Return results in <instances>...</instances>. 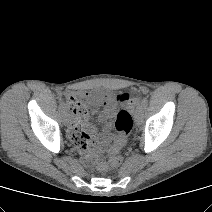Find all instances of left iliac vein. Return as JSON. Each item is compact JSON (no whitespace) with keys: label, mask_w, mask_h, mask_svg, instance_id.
<instances>
[{"label":"left iliac vein","mask_w":212,"mask_h":212,"mask_svg":"<svg viewBox=\"0 0 212 212\" xmlns=\"http://www.w3.org/2000/svg\"><path fill=\"white\" fill-rule=\"evenodd\" d=\"M143 106L142 104L138 105L137 108H136V111H135V115H134V118H135V122L137 125H140L141 122H142V119H143Z\"/></svg>","instance_id":"left-iliac-vein-1"}]
</instances>
